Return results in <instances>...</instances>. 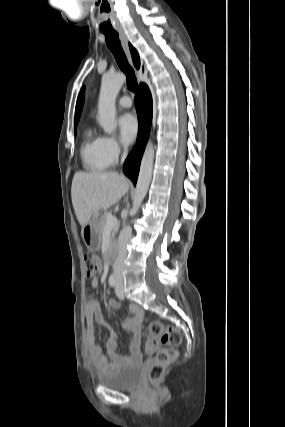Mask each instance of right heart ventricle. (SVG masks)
<instances>
[{"label":"right heart ventricle","mask_w":285,"mask_h":427,"mask_svg":"<svg viewBox=\"0 0 285 427\" xmlns=\"http://www.w3.org/2000/svg\"><path fill=\"white\" fill-rule=\"evenodd\" d=\"M80 157L84 168L91 172L105 170L110 165L104 153L102 137L96 135L91 128L86 129L83 134Z\"/></svg>","instance_id":"obj_1"}]
</instances>
